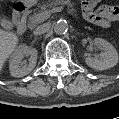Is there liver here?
<instances>
[{"mask_svg": "<svg viewBox=\"0 0 119 119\" xmlns=\"http://www.w3.org/2000/svg\"><path fill=\"white\" fill-rule=\"evenodd\" d=\"M18 42L19 38L15 33L0 29V72L5 61L15 50Z\"/></svg>", "mask_w": 119, "mask_h": 119, "instance_id": "6515ba94", "label": "liver"}]
</instances>
